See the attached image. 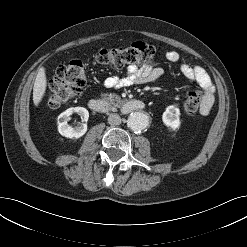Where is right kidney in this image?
Masks as SVG:
<instances>
[{"label":"right kidney","mask_w":247,"mask_h":247,"mask_svg":"<svg viewBox=\"0 0 247 247\" xmlns=\"http://www.w3.org/2000/svg\"><path fill=\"white\" fill-rule=\"evenodd\" d=\"M73 113H78L81 116L82 122H87L89 118V112L84 107H71L62 112L57 119L59 133L67 138H80L87 132V124L82 123L76 127H72L68 124L69 116Z\"/></svg>","instance_id":"1"}]
</instances>
